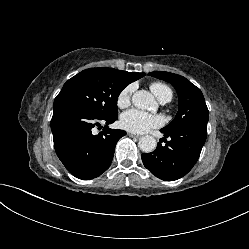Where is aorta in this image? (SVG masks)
Masks as SVG:
<instances>
[{
	"mask_svg": "<svg viewBox=\"0 0 249 249\" xmlns=\"http://www.w3.org/2000/svg\"><path fill=\"white\" fill-rule=\"evenodd\" d=\"M132 102L140 109H151L156 104L153 95L146 90L136 91L132 96ZM138 146L143 152L149 153L155 150L157 142L154 137L146 135L140 138Z\"/></svg>",
	"mask_w": 249,
	"mask_h": 249,
	"instance_id": "762f6f07",
	"label": "aorta"
}]
</instances>
